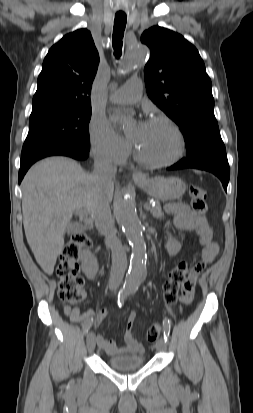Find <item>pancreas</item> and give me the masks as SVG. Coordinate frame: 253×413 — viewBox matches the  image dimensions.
Segmentation results:
<instances>
[{
	"instance_id": "obj_1",
	"label": "pancreas",
	"mask_w": 253,
	"mask_h": 413,
	"mask_svg": "<svg viewBox=\"0 0 253 413\" xmlns=\"http://www.w3.org/2000/svg\"><path fill=\"white\" fill-rule=\"evenodd\" d=\"M150 210H151V213H152L154 218H156V219H162L163 218L164 214H163L161 206L159 204H157L155 207H151Z\"/></svg>"
}]
</instances>
